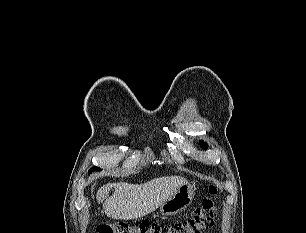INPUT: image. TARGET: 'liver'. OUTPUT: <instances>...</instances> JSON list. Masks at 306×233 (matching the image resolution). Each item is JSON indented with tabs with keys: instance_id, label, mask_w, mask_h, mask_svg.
<instances>
[{
	"instance_id": "liver-1",
	"label": "liver",
	"mask_w": 306,
	"mask_h": 233,
	"mask_svg": "<svg viewBox=\"0 0 306 233\" xmlns=\"http://www.w3.org/2000/svg\"><path fill=\"white\" fill-rule=\"evenodd\" d=\"M181 176L156 178L144 184L125 182L108 183L97 191L98 201H104L105 214L112 219L133 220L141 218L160 207L183 184ZM114 187L115 192L109 196Z\"/></svg>"
}]
</instances>
